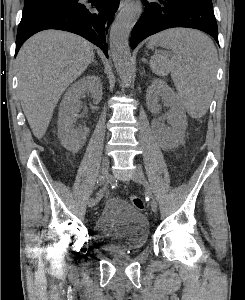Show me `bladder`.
<instances>
[{
    "mask_svg": "<svg viewBox=\"0 0 245 300\" xmlns=\"http://www.w3.org/2000/svg\"><path fill=\"white\" fill-rule=\"evenodd\" d=\"M93 236L113 253L134 252L145 245L149 236L147 218L125 200L112 197L93 223Z\"/></svg>",
    "mask_w": 245,
    "mask_h": 300,
    "instance_id": "1",
    "label": "bladder"
}]
</instances>
